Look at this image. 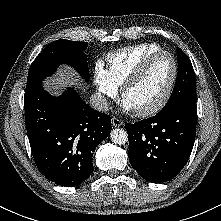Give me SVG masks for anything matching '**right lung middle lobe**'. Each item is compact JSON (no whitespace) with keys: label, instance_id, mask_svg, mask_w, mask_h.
Wrapping results in <instances>:
<instances>
[{"label":"right lung middle lobe","instance_id":"obj_1","mask_svg":"<svg viewBox=\"0 0 221 221\" xmlns=\"http://www.w3.org/2000/svg\"><path fill=\"white\" fill-rule=\"evenodd\" d=\"M87 42L56 40L48 45L33 61L27 78L26 92L42 84L47 76L55 72L59 64H68L86 80H89Z\"/></svg>","mask_w":221,"mask_h":221}]
</instances>
